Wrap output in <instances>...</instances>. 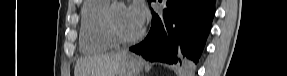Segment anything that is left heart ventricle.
<instances>
[{"mask_svg": "<svg viewBox=\"0 0 287 76\" xmlns=\"http://www.w3.org/2000/svg\"><path fill=\"white\" fill-rule=\"evenodd\" d=\"M115 24L119 31L126 36L137 34L142 28L130 14L128 7H118L116 9Z\"/></svg>", "mask_w": 287, "mask_h": 76, "instance_id": "b2bd125f", "label": "left heart ventricle"}]
</instances>
